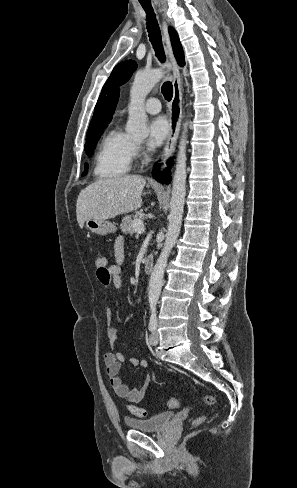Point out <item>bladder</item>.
<instances>
[{
  "mask_svg": "<svg viewBox=\"0 0 297 488\" xmlns=\"http://www.w3.org/2000/svg\"><path fill=\"white\" fill-rule=\"evenodd\" d=\"M173 417V412L165 411L155 414L146 419L126 417L124 419V422L125 425L130 429L143 432H157L167 427Z\"/></svg>",
  "mask_w": 297,
  "mask_h": 488,
  "instance_id": "1",
  "label": "bladder"
}]
</instances>
